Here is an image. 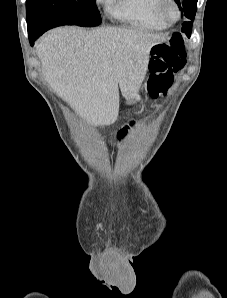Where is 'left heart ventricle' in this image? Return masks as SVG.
<instances>
[{"instance_id":"obj_1","label":"left heart ventricle","mask_w":227,"mask_h":298,"mask_svg":"<svg viewBox=\"0 0 227 298\" xmlns=\"http://www.w3.org/2000/svg\"><path fill=\"white\" fill-rule=\"evenodd\" d=\"M165 11H166V13H167L168 16L174 17L175 10H174V7L172 5H170V4L166 5Z\"/></svg>"}]
</instances>
